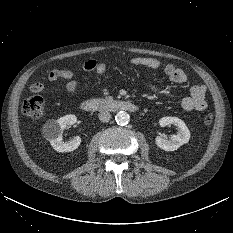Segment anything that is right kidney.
Wrapping results in <instances>:
<instances>
[{"mask_svg":"<svg viewBox=\"0 0 233 233\" xmlns=\"http://www.w3.org/2000/svg\"><path fill=\"white\" fill-rule=\"evenodd\" d=\"M76 122L77 117L73 114H69L57 120L48 121L44 125V135L56 151L71 152L79 147L81 143V138L79 136L67 142H64L62 138V133L66 126L73 125Z\"/></svg>","mask_w":233,"mask_h":233,"instance_id":"ca27d5eb","label":"right kidney"}]
</instances>
